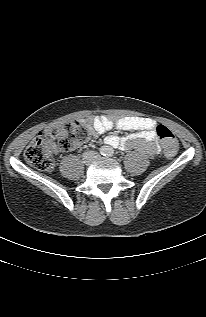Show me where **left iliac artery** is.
<instances>
[{
	"label": "left iliac artery",
	"mask_w": 206,
	"mask_h": 317,
	"mask_svg": "<svg viewBox=\"0 0 206 317\" xmlns=\"http://www.w3.org/2000/svg\"><path fill=\"white\" fill-rule=\"evenodd\" d=\"M114 155V150L112 148H109L107 150V156L112 157Z\"/></svg>",
	"instance_id": "obj_1"
}]
</instances>
